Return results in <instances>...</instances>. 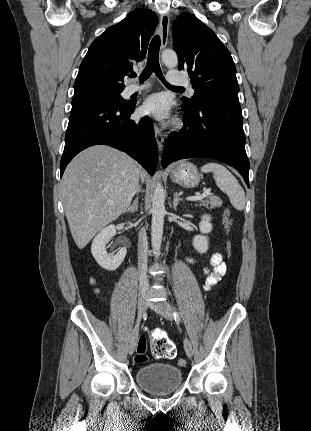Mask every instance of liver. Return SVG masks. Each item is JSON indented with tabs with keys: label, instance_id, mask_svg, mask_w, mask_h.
<instances>
[{
	"label": "liver",
	"instance_id": "liver-1",
	"mask_svg": "<svg viewBox=\"0 0 311 431\" xmlns=\"http://www.w3.org/2000/svg\"><path fill=\"white\" fill-rule=\"evenodd\" d=\"M145 178V170L135 160L109 146H93L75 156L65 170L61 194L79 249L127 210L139 180L145 182Z\"/></svg>",
	"mask_w": 311,
	"mask_h": 431
}]
</instances>
